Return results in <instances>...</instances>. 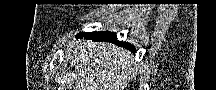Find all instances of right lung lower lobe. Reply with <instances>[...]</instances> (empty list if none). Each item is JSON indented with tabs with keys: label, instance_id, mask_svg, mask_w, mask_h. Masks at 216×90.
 I'll return each mask as SVG.
<instances>
[{
	"label": "right lung lower lobe",
	"instance_id": "obj_1",
	"mask_svg": "<svg viewBox=\"0 0 216 90\" xmlns=\"http://www.w3.org/2000/svg\"><path fill=\"white\" fill-rule=\"evenodd\" d=\"M79 37H84L86 39H92L94 41H106L114 43L118 46L125 47L133 52H135L134 46L129 43H124L123 41H118L116 34L113 32H82L78 34Z\"/></svg>",
	"mask_w": 216,
	"mask_h": 90
}]
</instances>
